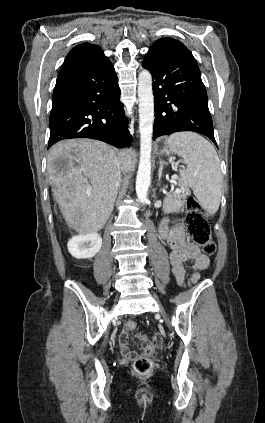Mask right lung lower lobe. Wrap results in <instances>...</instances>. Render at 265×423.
<instances>
[{
	"instance_id": "right-lung-lower-lobe-1",
	"label": "right lung lower lobe",
	"mask_w": 265,
	"mask_h": 423,
	"mask_svg": "<svg viewBox=\"0 0 265 423\" xmlns=\"http://www.w3.org/2000/svg\"><path fill=\"white\" fill-rule=\"evenodd\" d=\"M120 88L109 59L63 63L53 92L48 148L71 138H92L117 148L131 144Z\"/></svg>"
}]
</instances>
